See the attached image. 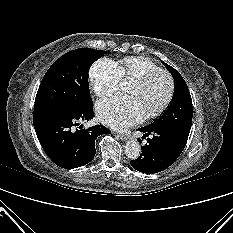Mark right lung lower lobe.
I'll list each match as a JSON object with an SVG mask.
<instances>
[{
    "instance_id": "1",
    "label": "right lung lower lobe",
    "mask_w": 233,
    "mask_h": 233,
    "mask_svg": "<svg viewBox=\"0 0 233 233\" xmlns=\"http://www.w3.org/2000/svg\"><path fill=\"white\" fill-rule=\"evenodd\" d=\"M93 107L89 104L73 110H49L34 114L33 124L39 142L47 156L58 166L72 169L93 160L95 140L99 135L110 134L105 126L96 125L74 131L81 121L93 118Z\"/></svg>"
}]
</instances>
